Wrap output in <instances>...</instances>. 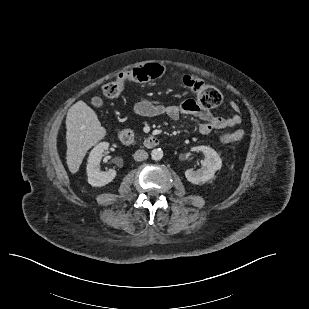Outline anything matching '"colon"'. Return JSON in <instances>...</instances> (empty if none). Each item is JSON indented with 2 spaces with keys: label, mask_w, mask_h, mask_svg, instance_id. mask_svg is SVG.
Listing matches in <instances>:
<instances>
[{
  "label": "colon",
  "mask_w": 309,
  "mask_h": 309,
  "mask_svg": "<svg viewBox=\"0 0 309 309\" xmlns=\"http://www.w3.org/2000/svg\"><path fill=\"white\" fill-rule=\"evenodd\" d=\"M164 73V67L157 63L147 64L143 67L135 68L122 74L115 81L103 86L101 94L107 99L116 98L122 90L134 82H149L157 79ZM185 84L193 89L196 94L197 102L205 108H213L221 104L223 97L221 92L215 87L197 81L189 77L184 79ZM244 131L237 130L223 136L226 142H235L243 138Z\"/></svg>",
  "instance_id": "1"
}]
</instances>
